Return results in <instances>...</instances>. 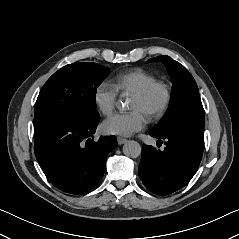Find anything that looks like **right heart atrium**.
<instances>
[{"mask_svg": "<svg viewBox=\"0 0 239 239\" xmlns=\"http://www.w3.org/2000/svg\"><path fill=\"white\" fill-rule=\"evenodd\" d=\"M116 91L106 87L100 88L97 94V103L104 113H110L115 105Z\"/></svg>", "mask_w": 239, "mask_h": 239, "instance_id": "obj_1", "label": "right heart atrium"}]
</instances>
